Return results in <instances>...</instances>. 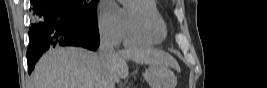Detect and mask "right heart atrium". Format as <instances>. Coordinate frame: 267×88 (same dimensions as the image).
<instances>
[{"mask_svg": "<svg viewBox=\"0 0 267 88\" xmlns=\"http://www.w3.org/2000/svg\"><path fill=\"white\" fill-rule=\"evenodd\" d=\"M98 26L102 37L114 44L120 43L125 28L123 11L115 3H105L99 12Z\"/></svg>", "mask_w": 267, "mask_h": 88, "instance_id": "1", "label": "right heart atrium"}]
</instances>
